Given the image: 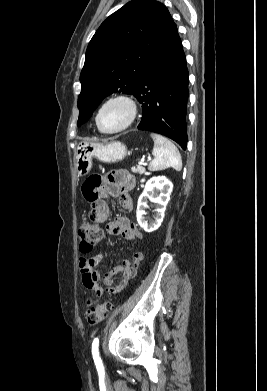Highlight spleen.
<instances>
[{"label":"spleen","mask_w":267,"mask_h":391,"mask_svg":"<svg viewBox=\"0 0 267 391\" xmlns=\"http://www.w3.org/2000/svg\"><path fill=\"white\" fill-rule=\"evenodd\" d=\"M151 137L154 140L152 151L154 159L149 164V170L158 171L172 167L180 171L182 169V160L176 146L159 134L151 133Z\"/></svg>","instance_id":"1"}]
</instances>
